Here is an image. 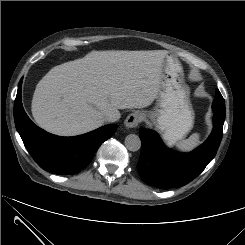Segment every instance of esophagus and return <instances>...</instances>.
I'll return each instance as SVG.
<instances>
[{"mask_svg": "<svg viewBox=\"0 0 245 245\" xmlns=\"http://www.w3.org/2000/svg\"><path fill=\"white\" fill-rule=\"evenodd\" d=\"M142 121V114L140 112H133L129 114L125 120L127 128H134Z\"/></svg>", "mask_w": 245, "mask_h": 245, "instance_id": "34e87169", "label": "esophagus"}]
</instances>
